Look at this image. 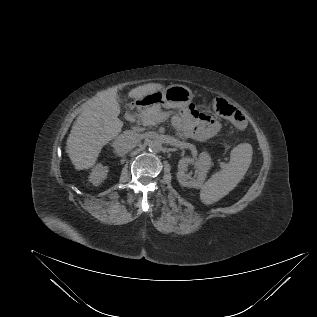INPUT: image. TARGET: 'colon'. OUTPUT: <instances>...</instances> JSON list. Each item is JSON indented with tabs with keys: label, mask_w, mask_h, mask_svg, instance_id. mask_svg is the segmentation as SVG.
Segmentation results:
<instances>
[{
	"label": "colon",
	"mask_w": 317,
	"mask_h": 317,
	"mask_svg": "<svg viewBox=\"0 0 317 317\" xmlns=\"http://www.w3.org/2000/svg\"><path fill=\"white\" fill-rule=\"evenodd\" d=\"M213 109L216 114L233 122L237 128L240 129L243 126L244 128L246 127V121L243 114L238 109L230 105L226 100L216 98L213 101Z\"/></svg>",
	"instance_id": "colon-1"
}]
</instances>
